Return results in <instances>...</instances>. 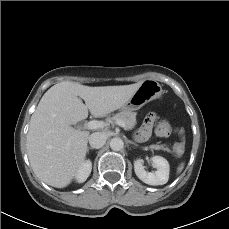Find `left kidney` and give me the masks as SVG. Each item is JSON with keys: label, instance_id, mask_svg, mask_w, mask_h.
I'll return each mask as SVG.
<instances>
[{"label": "left kidney", "instance_id": "5707ae66", "mask_svg": "<svg viewBox=\"0 0 229 229\" xmlns=\"http://www.w3.org/2000/svg\"><path fill=\"white\" fill-rule=\"evenodd\" d=\"M154 167L157 169L155 172H147L143 166V160L138 159L134 161V171L137 177L149 185H163L169 179V163L161 156H153L151 158Z\"/></svg>", "mask_w": 229, "mask_h": 229}]
</instances>
